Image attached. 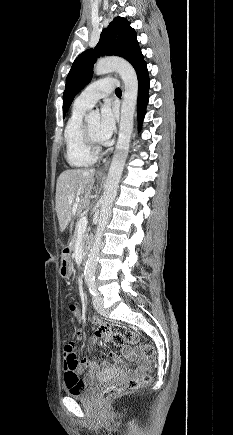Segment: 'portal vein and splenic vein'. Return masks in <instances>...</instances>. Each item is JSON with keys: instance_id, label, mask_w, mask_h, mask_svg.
Instances as JSON below:
<instances>
[{"instance_id": "18ae733b", "label": "portal vein and splenic vein", "mask_w": 233, "mask_h": 435, "mask_svg": "<svg viewBox=\"0 0 233 435\" xmlns=\"http://www.w3.org/2000/svg\"><path fill=\"white\" fill-rule=\"evenodd\" d=\"M75 200H76L75 204L77 205L80 202V198H76ZM87 224H88L87 217H82L77 223L78 232L79 233L85 232Z\"/></svg>"}]
</instances>
